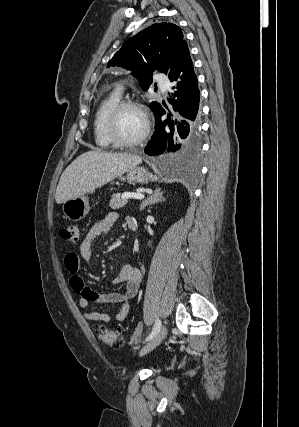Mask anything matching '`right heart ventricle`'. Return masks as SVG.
I'll return each mask as SVG.
<instances>
[{
	"instance_id": "obj_1",
	"label": "right heart ventricle",
	"mask_w": 299,
	"mask_h": 427,
	"mask_svg": "<svg viewBox=\"0 0 299 427\" xmlns=\"http://www.w3.org/2000/svg\"><path fill=\"white\" fill-rule=\"evenodd\" d=\"M120 93L113 91L105 96L98 104L93 118V139L95 145L103 150H110L114 145L105 134V120L109 111L120 101Z\"/></svg>"
}]
</instances>
